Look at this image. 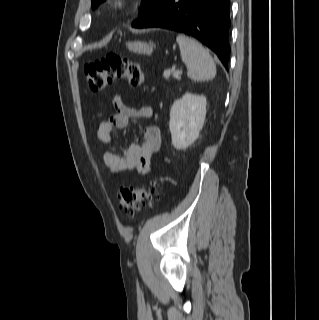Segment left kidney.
Returning a JSON list of instances; mask_svg holds the SVG:
<instances>
[{
  "instance_id": "5707ae66",
  "label": "left kidney",
  "mask_w": 319,
  "mask_h": 320,
  "mask_svg": "<svg viewBox=\"0 0 319 320\" xmlns=\"http://www.w3.org/2000/svg\"><path fill=\"white\" fill-rule=\"evenodd\" d=\"M206 97L186 93L176 100L170 110L169 129L172 145L186 149L198 138L206 116Z\"/></svg>"
}]
</instances>
